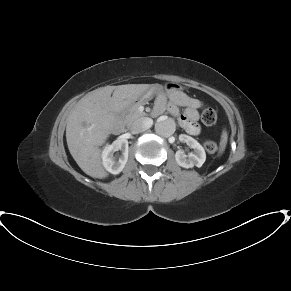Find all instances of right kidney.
<instances>
[{
  "label": "right kidney",
  "mask_w": 291,
  "mask_h": 291,
  "mask_svg": "<svg viewBox=\"0 0 291 291\" xmlns=\"http://www.w3.org/2000/svg\"><path fill=\"white\" fill-rule=\"evenodd\" d=\"M128 149V141L124 139L116 140L112 144L106 145L102 151L104 168L112 174H119L127 163ZM118 150H121L122 154L116 157L114 153Z\"/></svg>",
  "instance_id": "ca27d5eb"
}]
</instances>
